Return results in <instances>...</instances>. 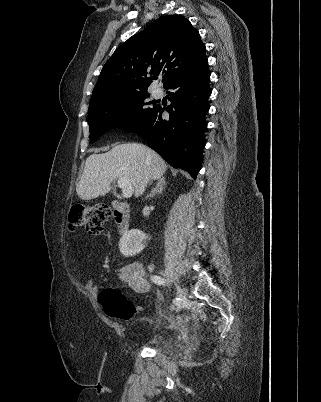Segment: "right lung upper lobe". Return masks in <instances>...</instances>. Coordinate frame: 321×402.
I'll return each mask as SVG.
<instances>
[{
	"label": "right lung upper lobe",
	"mask_w": 321,
	"mask_h": 402,
	"mask_svg": "<svg viewBox=\"0 0 321 402\" xmlns=\"http://www.w3.org/2000/svg\"><path fill=\"white\" fill-rule=\"evenodd\" d=\"M206 47L190 21L163 16L118 47L106 62L93 89L90 106L147 92L155 76L165 73L164 87L208 64Z\"/></svg>",
	"instance_id": "cb5924a9"
}]
</instances>
